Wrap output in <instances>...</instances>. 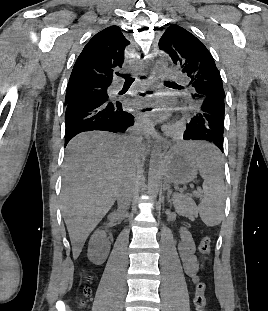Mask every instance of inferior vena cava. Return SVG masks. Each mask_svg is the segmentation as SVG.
Masks as SVG:
<instances>
[{
	"mask_svg": "<svg viewBox=\"0 0 268 311\" xmlns=\"http://www.w3.org/2000/svg\"><path fill=\"white\" fill-rule=\"evenodd\" d=\"M128 142L132 146L130 150L133 154V160L128 169L126 178L121 184L118 196L119 207L122 209L123 212L128 209V206L130 205L131 199L135 192V172L137 168L136 160L134 159V152H136L137 149L133 146L132 141L128 139Z\"/></svg>",
	"mask_w": 268,
	"mask_h": 311,
	"instance_id": "obj_1",
	"label": "inferior vena cava"
}]
</instances>
